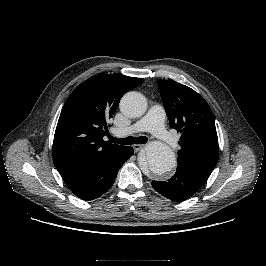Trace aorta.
<instances>
[{"label":"aorta","mask_w":266,"mask_h":266,"mask_svg":"<svg viewBox=\"0 0 266 266\" xmlns=\"http://www.w3.org/2000/svg\"><path fill=\"white\" fill-rule=\"evenodd\" d=\"M120 110L127 117H140L146 111V100L138 92H128L121 99ZM138 160L142 169H149L159 176L173 170L176 166L174 152L169 146L158 141L149 143Z\"/></svg>","instance_id":"aorta-1"}]
</instances>
